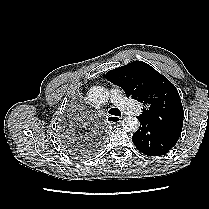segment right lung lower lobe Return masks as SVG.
I'll list each match as a JSON object with an SVG mask.
<instances>
[{"label":"right lung lower lobe","instance_id":"98d812e1","mask_svg":"<svg viewBox=\"0 0 209 209\" xmlns=\"http://www.w3.org/2000/svg\"><path fill=\"white\" fill-rule=\"evenodd\" d=\"M95 141H96V145H97V146L101 145V143L103 142L102 134H97V135L95 136ZM94 149H96V146H95V148H93V147H88V146H87V147H82V146H80V147H78L77 151H78L79 153L85 152L86 154H89V153H92V152L94 151Z\"/></svg>","mask_w":209,"mask_h":209}]
</instances>
